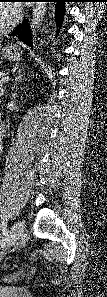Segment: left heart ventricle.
Wrapping results in <instances>:
<instances>
[{"mask_svg": "<svg viewBox=\"0 0 107 297\" xmlns=\"http://www.w3.org/2000/svg\"><path fill=\"white\" fill-rule=\"evenodd\" d=\"M0 9H1L0 26H4L8 24L10 21H12V19L15 16V10L11 5H5V4H1Z\"/></svg>", "mask_w": 107, "mask_h": 297, "instance_id": "left-heart-ventricle-1", "label": "left heart ventricle"}]
</instances>
